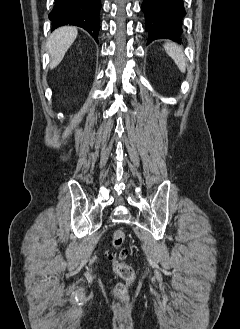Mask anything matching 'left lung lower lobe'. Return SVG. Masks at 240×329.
I'll return each instance as SVG.
<instances>
[{
    "label": "left lung lower lobe",
    "mask_w": 240,
    "mask_h": 329,
    "mask_svg": "<svg viewBox=\"0 0 240 329\" xmlns=\"http://www.w3.org/2000/svg\"><path fill=\"white\" fill-rule=\"evenodd\" d=\"M141 9L145 14L148 43L156 39L181 42L182 19L186 14L183 0H144Z\"/></svg>",
    "instance_id": "0a47b994"
}]
</instances>
